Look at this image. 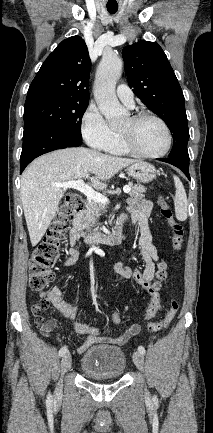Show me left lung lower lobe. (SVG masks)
<instances>
[{
  "label": "left lung lower lobe",
  "instance_id": "left-lung-lower-lobe-1",
  "mask_svg": "<svg viewBox=\"0 0 213 433\" xmlns=\"http://www.w3.org/2000/svg\"><path fill=\"white\" fill-rule=\"evenodd\" d=\"M158 160L163 161V162H167L169 164H172V165L178 167L180 170H182L184 172V174L190 180L189 162H184V161L169 158V157L168 158H158Z\"/></svg>",
  "mask_w": 213,
  "mask_h": 433
}]
</instances>
